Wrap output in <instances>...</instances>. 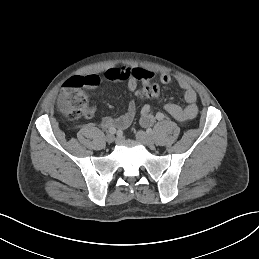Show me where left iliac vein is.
Listing matches in <instances>:
<instances>
[{"instance_id":"4c4485c4","label":"left iliac vein","mask_w":259,"mask_h":259,"mask_svg":"<svg viewBox=\"0 0 259 259\" xmlns=\"http://www.w3.org/2000/svg\"><path fill=\"white\" fill-rule=\"evenodd\" d=\"M136 139L145 146L151 147L154 145V137L144 131H138L136 133Z\"/></svg>"}]
</instances>
